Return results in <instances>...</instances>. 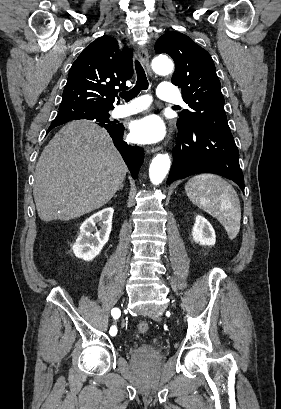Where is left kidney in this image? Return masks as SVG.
Instances as JSON below:
<instances>
[{
	"instance_id": "left-kidney-1",
	"label": "left kidney",
	"mask_w": 281,
	"mask_h": 409,
	"mask_svg": "<svg viewBox=\"0 0 281 409\" xmlns=\"http://www.w3.org/2000/svg\"><path fill=\"white\" fill-rule=\"evenodd\" d=\"M192 237L193 241L199 243V245H215L216 243V235L212 225L200 215L195 217Z\"/></svg>"
}]
</instances>
